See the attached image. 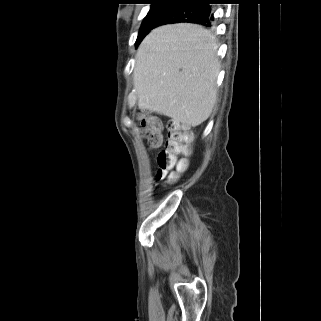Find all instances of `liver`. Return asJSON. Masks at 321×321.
<instances>
[{"label": "liver", "mask_w": 321, "mask_h": 321, "mask_svg": "<svg viewBox=\"0 0 321 321\" xmlns=\"http://www.w3.org/2000/svg\"><path fill=\"white\" fill-rule=\"evenodd\" d=\"M217 48L215 36L199 25L152 30L136 55L133 83L139 108L192 127L206 121L217 99Z\"/></svg>", "instance_id": "6515ba94"}]
</instances>
